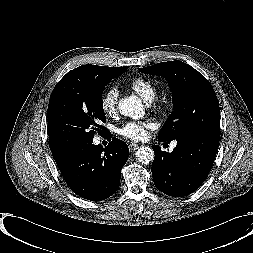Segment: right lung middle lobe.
Instances as JSON below:
<instances>
[{
  "label": "right lung middle lobe",
  "instance_id": "1",
  "mask_svg": "<svg viewBox=\"0 0 253 253\" xmlns=\"http://www.w3.org/2000/svg\"><path fill=\"white\" fill-rule=\"evenodd\" d=\"M128 67L68 72L50 96L49 144L63 151H74L79 145L91 142L95 132H107L99 124L106 122L102 93L105 85Z\"/></svg>",
  "mask_w": 253,
  "mask_h": 253
}]
</instances>
